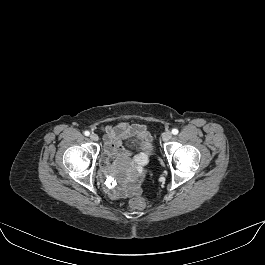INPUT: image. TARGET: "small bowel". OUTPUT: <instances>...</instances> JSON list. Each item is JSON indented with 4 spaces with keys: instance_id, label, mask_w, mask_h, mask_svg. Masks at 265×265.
Instances as JSON below:
<instances>
[{
    "instance_id": "obj_1",
    "label": "small bowel",
    "mask_w": 265,
    "mask_h": 265,
    "mask_svg": "<svg viewBox=\"0 0 265 265\" xmlns=\"http://www.w3.org/2000/svg\"><path fill=\"white\" fill-rule=\"evenodd\" d=\"M105 133V150L101 157V166L108 169L110 162L115 157H124L128 154L127 148L123 146L124 142L131 136L140 139V151L136 157L138 165H144L147 161V147L149 134L143 125H129L121 122L115 126H107L104 128ZM142 175L140 177L129 180L122 188L108 186L109 194L115 198H124L138 195L141 192Z\"/></svg>"
}]
</instances>
